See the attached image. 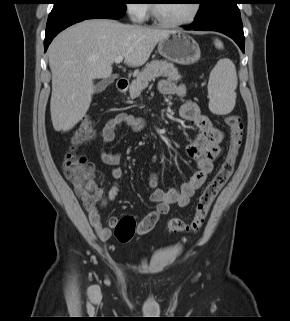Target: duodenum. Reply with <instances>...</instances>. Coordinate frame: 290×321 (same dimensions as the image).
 I'll list each match as a JSON object with an SVG mask.
<instances>
[{"label":"duodenum","mask_w":290,"mask_h":321,"mask_svg":"<svg viewBox=\"0 0 290 321\" xmlns=\"http://www.w3.org/2000/svg\"><path fill=\"white\" fill-rule=\"evenodd\" d=\"M129 87V80L126 78H120L116 83V88L119 92H126Z\"/></svg>","instance_id":"obj_1"}]
</instances>
